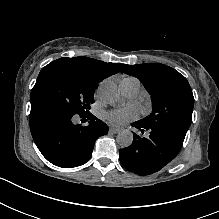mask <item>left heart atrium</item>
Segmentation results:
<instances>
[{"instance_id": "left-heart-atrium-1", "label": "left heart atrium", "mask_w": 219, "mask_h": 219, "mask_svg": "<svg viewBox=\"0 0 219 219\" xmlns=\"http://www.w3.org/2000/svg\"><path fill=\"white\" fill-rule=\"evenodd\" d=\"M137 115L136 109L129 107L109 112L107 114V119L113 125L121 127L126 125L128 122L135 120Z\"/></svg>"}]
</instances>
